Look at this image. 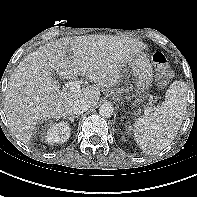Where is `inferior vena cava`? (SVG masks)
Wrapping results in <instances>:
<instances>
[{"instance_id": "obj_1", "label": "inferior vena cava", "mask_w": 197, "mask_h": 197, "mask_svg": "<svg viewBox=\"0 0 197 197\" xmlns=\"http://www.w3.org/2000/svg\"><path fill=\"white\" fill-rule=\"evenodd\" d=\"M91 107V102L86 98H79L76 99L71 105V111L76 114L80 115L87 111Z\"/></svg>"}]
</instances>
